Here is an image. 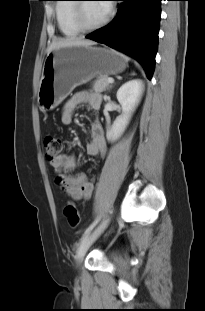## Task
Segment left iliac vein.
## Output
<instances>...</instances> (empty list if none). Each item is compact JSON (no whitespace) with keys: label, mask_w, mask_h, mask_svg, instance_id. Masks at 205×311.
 Returning a JSON list of instances; mask_svg holds the SVG:
<instances>
[{"label":"left iliac vein","mask_w":205,"mask_h":311,"mask_svg":"<svg viewBox=\"0 0 205 311\" xmlns=\"http://www.w3.org/2000/svg\"><path fill=\"white\" fill-rule=\"evenodd\" d=\"M109 224V218L104 219L91 233H89L81 242L76 252V261L80 263L90 246L97 240V238L104 232Z\"/></svg>","instance_id":"4c4485c4"}]
</instances>
